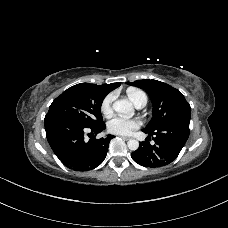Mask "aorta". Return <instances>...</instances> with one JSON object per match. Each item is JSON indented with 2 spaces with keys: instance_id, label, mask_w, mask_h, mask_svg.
Listing matches in <instances>:
<instances>
[{
  "instance_id": "762f6f07",
  "label": "aorta",
  "mask_w": 228,
  "mask_h": 228,
  "mask_svg": "<svg viewBox=\"0 0 228 228\" xmlns=\"http://www.w3.org/2000/svg\"><path fill=\"white\" fill-rule=\"evenodd\" d=\"M113 109L123 117L130 118L134 115L132 103L126 99L117 100L113 103ZM127 146L131 151H135L139 147V142L136 139H130Z\"/></svg>"
}]
</instances>
